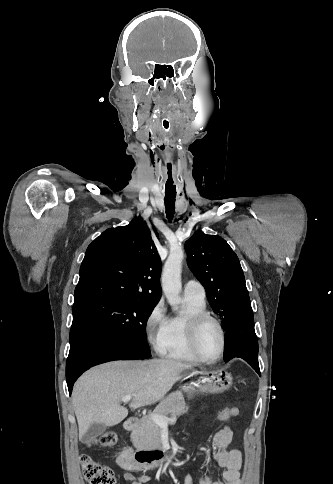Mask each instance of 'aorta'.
I'll return each instance as SVG.
<instances>
[{
  "instance_id": "762f6f07",
  "label": "aorta",
  "mask_w": 333,
  "mask_h": 484,
  "mask_svg": "<svg viewBox=\"0 0 333 484\" xmlns=\"http://www.w3.org/2000/svg\"><path fill=\"white\" fill-rule=\"evenodd\" d=\"M184 258L183 250L180 246L173 248L165 262L161 283L163 292L173 310L178 309L180 303L181 271Z\"/></svg>"
}]
</instances>
